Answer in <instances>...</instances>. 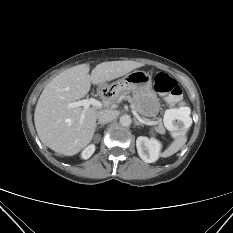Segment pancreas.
<instances>
[{
	"mask_svg": "<svg viewBox=\"0 0 233 233\" xmlns=\"http://www.w3.org/2000/svg\"><path fill=\"white\" fill-rule=\"evenodd\" d=\"M119 98H120V99H127L130 103H132L133 108L136 110V106H135V104H134L133 98H131L129 95H127L126 92H123V93L119 96ZM157 123H158V122H157ZM156 129H157V131H158L159 133H162V134H163V133L165 132V129H164V127H163V125H162L161 122L158 123V127H157Z\"/></svg>",
	"mask_w": 233,
	"mask_h": 233,
	"instance_id": "1",
	"label": "pancreas"
}]
</instances>
